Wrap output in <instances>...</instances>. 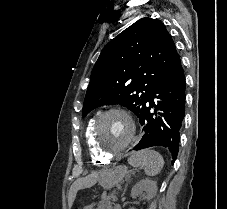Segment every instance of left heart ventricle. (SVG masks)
<instances>
[{
  "instance_id": "left-heart-ventricle-1",
  "label": "left heart ventricle",
  "mask_w": 227,
  "mask_h": 209,
  "mask_svg": "<svg viewBox=\"0 0 227 209\" xmlns=\"http://www.w3.org/2000/svg\"><path fill=\"white\" fill-rule=\"evenodd\" d=\"M131 135V126L128 120L121 114H110L101 123L99 140L107 150H113L122 146Z\"/></svg>"
}]
</instances>
